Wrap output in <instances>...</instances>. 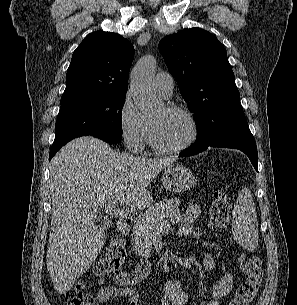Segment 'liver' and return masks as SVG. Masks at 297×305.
Returning a JSON list of instances; mask_svg holds the SVG:
<instances>
[{
  "mask_svg": "<svg viewBox=\"0 0 297 305\" xmlns=\"http://www.w3.org/2000/svg\"><path fill=\"white\" fill-rule=\"evenodd\" d=\"M174 161L119 153L90 136L72 140L53 157L46 265L59 294L72 289L103 248L106 237L95 223L98 212L117 202L138 209L149 206V184Z\"/></svg>",
  "mask_w": 297,
  "mask_h": 305,
  "instance_id": "1",
  "label": "liver"
}]
</instances>
